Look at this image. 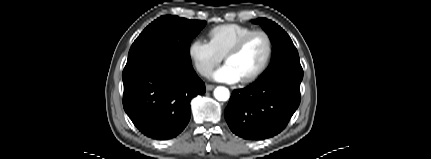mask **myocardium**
I'll use <instances>...</instances> for the list:
<instances>
[{
    "mask_svg": "<svg viewBox=\"0 0 431 159\" xmlns=\"http://www.w3.org/2000/svg\"><path fill=\"white\" fill-rule=\"evenodd\" d=\"M256 35H262L266 39L267 55L263 64L254 73L240 80L243 84L252 83L259 79L270 66L274 53V44L271 36L266 31L254 30L240 38L223 56L224 61L226 62L228 58L240 53L242 49L246 46V44L249 42V40Z\"/></svg>",
    "mask_w": 431,
    "mask_h": 159,
    "instance_id": "1",
    "label": "myocardium"
}]
</instances>
